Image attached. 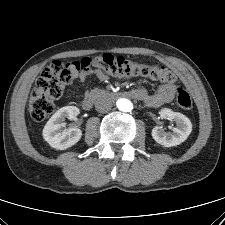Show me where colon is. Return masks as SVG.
I'll return each mask as SVG.
<instances>
[{"label":"colon","mask_w":225,"mask_h":225,"mask_svg":"<svg viewBox=\"0 0 225 225\" xmlns=\"http://www.w3.org/2000/svg\"><path fill=\"white\" fill-rule=\"evenodd\" d=\"M70 66L76 69L94 66L115 76H141L164 83H173L176 80L175 74L166 67L136 63L110 53L84 57L69 65L54 61L41 72L29 100V111L35 121H42L54 112L55 101L61 97L63 89L71 82ZM176 101L184 110L192 107L191 97L182 87L176 89Z\"/></svg>","instance_id":"obj_1"}]
</instances>
